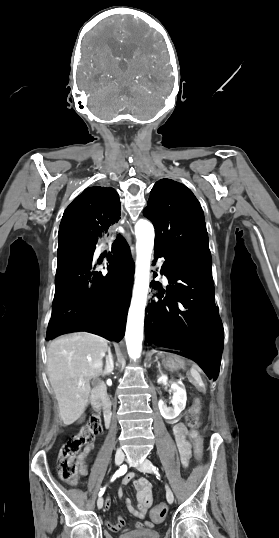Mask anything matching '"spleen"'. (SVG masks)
Instances as JSON below:
<instances>
[{"label": "spleen", "mask_w": 279, "mask_h": 538, "mask_svg": "<svg viewBox=\"0 0 279 538\" xmlns=\"http://www.w3.org/2000/svg\"><path fill=\"white\" fill-rule=\"evenodd\" d=\"M191 375L193 376V379L198 384V387L203 388V380L200 378V376L198 375V372L194 370V368H192L191 370ZM201 392H204V389H201Z\"/></svg>", "instance_id": "obj_1"}]
</instances>
